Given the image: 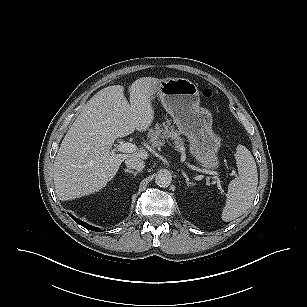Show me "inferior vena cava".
Segmentation results:
<instances>
[{
	"label": "inferior vena cava",
	"instance_id": "inferior-vena-cava-1",
	"mask_svg": "<svg viewBox=\"0 0 307 307\" xmlns=\"http://www.w3.org/2000/svg\"><path fill=\"white\" fill-rule=\"evenodd\" d=\"M125 164L128 168L135 169L137 171L143 170L145 163L142 159L137 157H129L125 160Z\"/></svg>",
	"mask_w": 307,
	"mask_h": 307
}]
</instances>
